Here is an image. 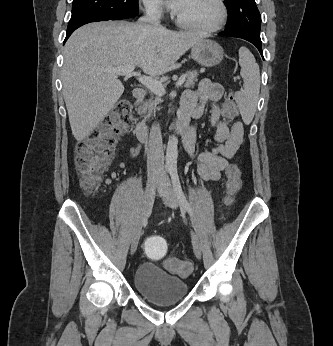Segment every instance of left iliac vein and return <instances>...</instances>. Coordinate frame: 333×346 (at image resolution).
Masks as SVG:
<instances>
[{
    "label": "left iliac vein",
    "instance_id": "1",
    "mask_svg": "<svg viewBox=\"0 0 333 346\" xmlns=\"http://www.w3.org/2000/svg\"><path fill=\"white\" fill-rule=\"evenodd\" d=\"M161 181L163 185L161 186L162 200L163 202L173 209H177L178 207V198L173 190L170 180L165 174L160 175ZM192 246L196 256L200 259L202 255V247L201 242L198 236L192 232L191 233Z\"/></svg>",
    "mask_w": 333,
    "mask_h": 346
}]
</instances>
